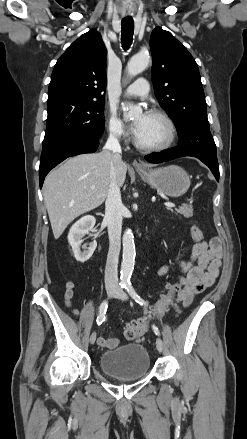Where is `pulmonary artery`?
I'll list each match as a JSON object with an SVG mask.
<instances>
[{"mask_svg":"<svg viewBox=\"0 0 247 439\" xmlns=\"http://www.w3.org/2000/svg\"><path fill=\"white\" fill-rule=\"evenodd\" d=\"M149 92L147 80L140 78L131 84L125 91V94L132 97H144Z\"/></svg>","mask_w":247,"mask_h":439,"instance_id":"e3ab8cb5","label":"pulmonary artery"}]
</instances>
